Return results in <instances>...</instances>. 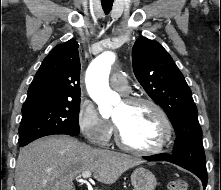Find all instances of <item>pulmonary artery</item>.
I'll return each mask as SVG.
<instances>
[{"mask_svg":"<svg viewBox=\"0 0 221 190\" xmlns=\"http://www.w3.org/2000/svg\"><path fill=\"white\" fill-rule=\"evenodd\" d=\"M110 83L114 89L121 91L124 94L128 93L130 90L127 77L123 72L117 71L113 73L110 78Z\"/></svg>","mask_w":221,"mask_h":190,"instance_id":"e3ab8cb5","label":"pulmonary artery"}]
</instances>
